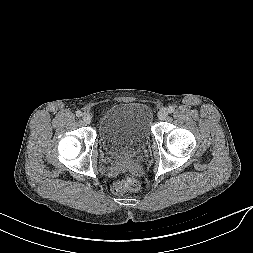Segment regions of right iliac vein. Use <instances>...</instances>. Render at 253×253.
Returning <instances> with one entry per match:
<instances>
[{
	"instance_id": "right-iliac-vein-1",
	"label": "right iliac vein",
	"mask_w": 253,
	"mask_h": 253,
	"mask_svg": "<svg viewBox=\"0 0 253 253\" xmlns=\"http://www.w3.org/2000/svg\"><path fill=\"white\" fill-rule=\"evenodd\" d=\"M82 120H83V122H84L85 124H90V123H91V120H92L91 115L88 114V113H84V114L82 115Z\"/></svg>"
}]
</instances>
